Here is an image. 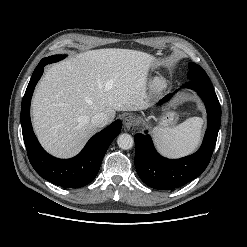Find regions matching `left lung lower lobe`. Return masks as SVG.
<instances>
[{
	"mask_svg": "<svg viewBox=\"0 0 247 247\" xmlns=\"http://www.w3.org/2000/svg\"><path fill=\"white\" fill-rule=\"evenodd\" d=\"M183 88L195 90L205 103L208 127L200 149L180 159H167L155 150L150 135L136 134L135 167L140 179L149 187L171 190L198 177L208 166L214 151L221 123V107L211 83L189 80ZM167 95L162 102L171 98Z\"/></svg>",
	"mask_w": 247,
	"mask_h": 247,
	"instance_id": "obj_1",
	"label": "left lung lower lobe"
}]
</instances>
